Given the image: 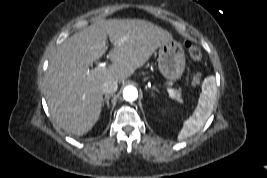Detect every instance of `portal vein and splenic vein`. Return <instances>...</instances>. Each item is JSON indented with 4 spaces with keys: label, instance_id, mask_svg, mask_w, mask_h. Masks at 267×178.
Here are the masks:
<instances>
[{
    "label": "portal vein and splenic vein",
    "instance_id": "1",
    "mask_svg": "<svg viewBox=\"0 0 267 178\" xmlns=\"http://www.w3.org/2000/svg\"><path fill=\"white\" fill-rule=\"evenodd\" d=\"M105 70H106V65L104 63H99L96 68H94L92 70H89L88 71V74L91 75L93 73L103 72ZM167 91H168V93H169L170 96H173L174 95V90L173 89L167 88Z\"/></svg>",
    "mask_w": 267,
    "mask_h": 178
}]
</instances>
